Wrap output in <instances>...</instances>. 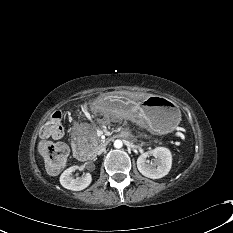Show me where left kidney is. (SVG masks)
I'll return each instance as SVG.
<instances>
[{"instance_id":"5707ae66","label":"left kidney","mask_w":233,"mask_h":233,"mask_svg":"<svg viewBox=\"0 0 233 233\" xmlns=\"http://www.w3.org/2000/svg\"><path fill=\"white\" fill-rule=\"evenodd\" d=\"M149 155L155 157L151 162L147 161ZM172 166V155L169 149L157 147L149 153L141 154L137 159L139 172L151 179H159L167 175Z\"/></svg>"}]
</instances>
